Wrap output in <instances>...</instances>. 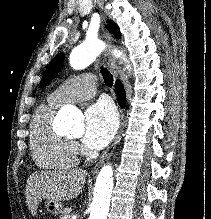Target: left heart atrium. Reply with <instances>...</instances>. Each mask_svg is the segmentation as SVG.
<instances>
[{"instance_id": "39dd6f15", "label": "left heart atrium", "mask_w": 211, "mask_h": 219, "mask_svg": "<svg viewBox=\"0 0 211 219\" xmlns=\"http://www.w3.org/2000/svg\"><path fill=\"white\" fill-rule=\"evenodd\" d=\"M117 126L118 118L112 104L98 101L86 111L83 143L88 148L101 149L111 141Z\"/></svg>"}]
</instances>
